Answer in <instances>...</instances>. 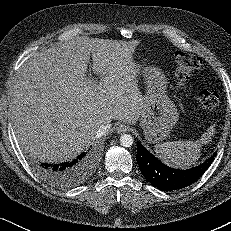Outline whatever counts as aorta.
I'll return each mask as SVG.
<instances>
[{
    "mask_svg": "<svg viewBox=\"0 0 231 231\" xmlns=\"http://www.w3.org/2000/svg\"><path fill=\"white\" fill-rule=\"evenodd\" d=\"M134 139L130 134H123L120 137V143L124 147H131L133 145Z\"/></svg>",
    "mask_w": 231,
    "mask_h": 231,
    "instance_id": "1",
    "label": "aorta"
}]
</instances>
